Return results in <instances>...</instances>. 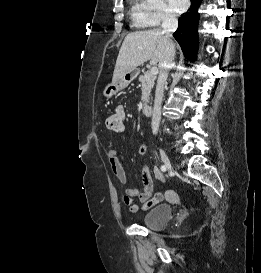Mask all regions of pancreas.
Segmentation results:
<instances>
[{
    "label": "pancreas",
    "mask_w": 261,
    "mask_h": 273,
    "mask_svg": "<svg viewBox=\"0 0 261 273\" xmlns=\"http://www.w3.org/2000/svg\"><path fill=\"white\" fill-rule=\"evenodd\" d=\"M156 76L151 75L149 71L143 73L139 76V81L142 85V102L144 104L148 103L150 92L155 84Z\"/></svg>",
    "instance_id": "1"
}]
</instances>
